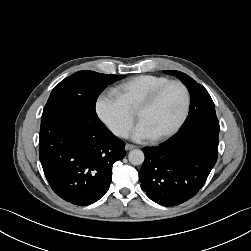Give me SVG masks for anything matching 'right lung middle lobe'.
Here are the masks:
<instances>
[{
	"label": "right lung middle lobe",
	"instance_id": "obj_1",
	"mask_svg": "<svg viewBox=\"0 0 251 251\" xmlns=\"http://www.w3.org/2000/svg\"><path fill=\"white\" fill-rule=\"evenodd\" d=\"M125 75H107L94 71H79L65 78L52 90L43 114L75 108L96 115L95 104L100 93Z\"/></svg>",
	"mask_w": 251,
	"mask_h": 251
}]
</instances>
